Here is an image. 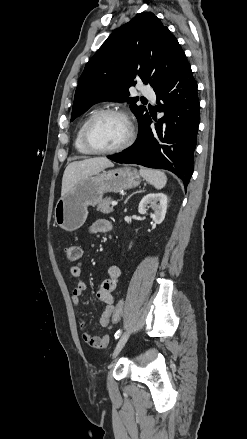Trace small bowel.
Wrapping results in <instances>:
<instances>
[{
	"label": "small bowel",
	"instance_id": "small-bowel-1",
	"mask_svg": "<svg viewBox=\"0 0 247 439\" xmlns=\"http://www.w3.org/2000/svg\"><path fill=\"white\" fill-rule=\"evenodd\" d=\"M112 229V224L106 219H99L95 221L90 228V231L94 234L106 233ZM82 263L77 262L70 268V274L73 278L78 279L81 276ZM121 272L118 266L112 265L108 269V276L102 281L97 291V297L100 301L106 304L100 318L99 323L102 327H107L111 323V315L114 310L115 297L113 292L117 286V282L120 278ZM87 289V285L83 281H78L72 291L71 299L75 305L80 304L81 296ZM80 329L82 331V337L87 345L95 349H104L108 346L110 338L109 336H93L86 330L85 320L79 319Z\"/></svg>",
	"mask_w": 247,
	"mask_h": 439
}]
</instances>
